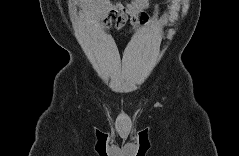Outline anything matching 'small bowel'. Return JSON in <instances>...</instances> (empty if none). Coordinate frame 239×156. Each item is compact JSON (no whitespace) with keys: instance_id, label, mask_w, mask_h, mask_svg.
<instances>
[{"instance_id":"1","label":"small bowel","mask_w":239,"mask_h":156,"mask_svg":"<svg viewBox=\"0 0 239 156\" xmlns=\"http://www.w3.org/2000/svg\"><path fill=\"white\" fill-rule=\"evenodd\" d=\"M76 5L88 16H105L103 24L109 27L114 22L115 30L123 34V27L130 23L132 31L137 33L141 26L146 25L155 28L160 19V7L148 0H133L129 2L120 1H76ZM153 9L149 15L147 10Z\"/></svg>"}]
</instances>
